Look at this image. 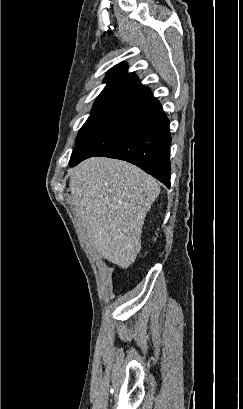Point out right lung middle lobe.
<instances>
[{
  "label": "right lung middle lobe",
  "instance_id": "obj_1",
  "mask_svg": "<svg viewBox=\"0 0 243 409\" xmlns=\"http://www.w3.org/2000/svg\"><path fill=\"white\" fill-rule=\"evenodd\" d=\"M121 103L122 101L115 100L96 101L91 115L78 133L76 147L97 130L117 110Z\"/></svg>",
  "mask_w": 243,
  "mask_h": 409
}]
</instances>
